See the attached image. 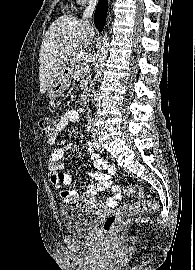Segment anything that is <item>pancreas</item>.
I'll return each mask as SVG.
<instances>
[{
  "label": "pancreas",
  "mask_w": 195,
  "mask_h": 270,
  "mask_svg": "<svg viewBox=\"0 0 195 270\" xmlns=\"http://www.w3.org/2000/svg\"><path fill=\"white\" fill-rule=\"evenodd\" d=\"M70 72L71 75L80 81L81 87L84 88L90 81V69L88 61H78L74 56L70 60Z\"/></svg>",
  "instance_id": "pancreas-1"
}]
</instances>
